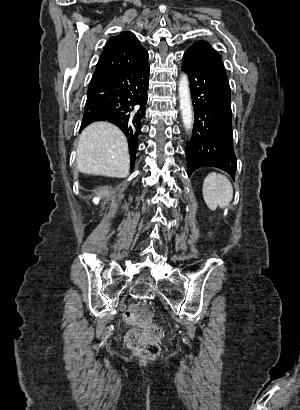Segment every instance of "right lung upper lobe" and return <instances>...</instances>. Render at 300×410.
I'll use <instances>...</instances> for the list:
<instances>
[{
    "label": "right lung upper lobe",
    "mask_w": 300,
    "mask_h": 410,
    "mask_svg": "<svg viewBox=\"0 0 300 410\" xmlns=\"http://www.w3.org/2000/svg\"><path fill=\"white\" fill-rule=\"evenodd\" d=\"M148 61V52L133 33L124 31L106 43L92 78L109 74L128 66H139ZM136 151L131 153L136 157Z\"/></svg>",
    "instance_id": "obj_1"
}]
</instances>
